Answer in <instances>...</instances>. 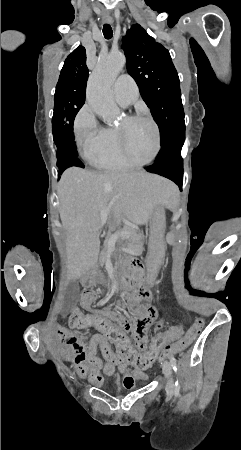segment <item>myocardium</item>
Listing matches in <instances>:
<instances>
[{
    "mask_svg": "<svg viewBox=\"0 0 241 450\" xmlns=\"http://www.w3.org/2000/svg\"><path fill=\"white\" fill-rule=\"evenodd\" d=\"M128 118H132V117H128ZM154 127H159V122H154ZM118 135L119 136H117V138H116V141H117V143H119V149H121L122 150V157H126V162H127V158H128V156H129V153L128 152H126L125 151V149H124V145H125V139H124V134H125V130L124 129H119L118 130ZM160 134V131L159 130H156L155 132H153V137H154V141H153V157H155V158H158L159 157V154H158V148H159V143L160 142H163V137H158V135ZM153 160L154 159H152V160H148V162H153Z\"/></svg>",
    "mask_w": 241,
    "mask_h": 450,
    "instance_id": "1",
    "label": "myocardium"
}]
</instances>
